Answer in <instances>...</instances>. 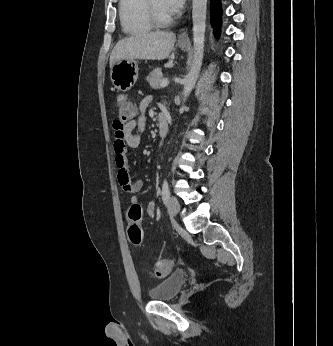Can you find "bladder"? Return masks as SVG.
I'll list each match as a JSON object with an SVG mask.
<instances>
[{"label":"bladder","instance_id":"bladder-1","mask_svg":"<svg viewBox=\"0 0 333 346\" xmlns=\"http://www.w3.org/2000/svg\"><path fill=\"white\" fill-rule=\"evenodd\" d=\"M185 280V271H174L149 290V297L154 301H169L177 296Z\"/></svg>","mask_w":333,"mask_h":346}]
</instances>
